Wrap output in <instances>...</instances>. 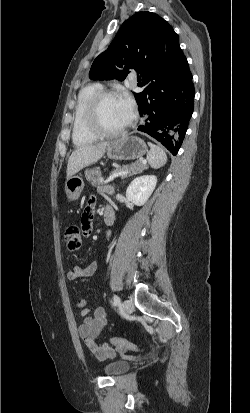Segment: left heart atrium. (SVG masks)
Segmentation results:
<instances>
[{"label":"left heart atrium","mask_w":250,"mask_h":413,"mask_svg":"<svg viewBox=\"0 0 250 413\" xmlns=\"http://www.w3.org/2000/svg\"><path fill=\"white\" fill-rule=\"evenodd\" d=\"M119 102L126 114L128 121L130 122L135 115V105L132 98L129 95H122L119 97Z\"/></svg>","instance_id":"obj_1"}]
</instances>
